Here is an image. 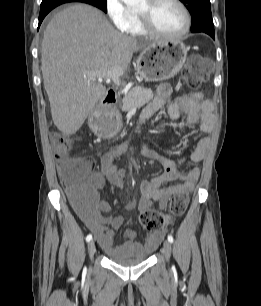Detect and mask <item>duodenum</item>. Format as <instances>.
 <instances>
[{
    "label": "duodenum",
    "instance_id": "obj_1",
    "mask_svg": "<svg viewBox=\"0 0 261 306\" xmlns=\"http://www.w3.org/2000/svg\"><path fill=\"white\" fill-rule=\"evenodd\" d=\"M117 100V94L113 89H108L105 97L102 100L103 108L107 109L115 104Z\"/></svg>",
    "mask_w": 261,
    "mask_h": 306
}]
</instances>
